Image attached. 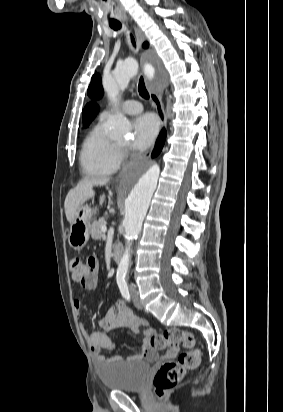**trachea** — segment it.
Listing matches in <instances>:
<instances>
[{
  "label": "trachea",
  "instance_id": "1",
  "mask_svg": "<svg viewBox=\"0 0 283 412\" xmlns=\"http://www.w3.org/2000/svg\"><path fill=\"white\" fill-rule=\"evenodd\" d=\"M110 27L114 30H118L121 28V24L120 23H112L110 24ZM131 41L133 43V45L135 46V40L134 38L131 36ZM138 91L141 97L148 99L149 98V93L145 87V83H144V79L141 76L139 79V84H138Z\"/></svg>",
  "mask_w": 283,
  "mask_h": 412
}]
</instances>
